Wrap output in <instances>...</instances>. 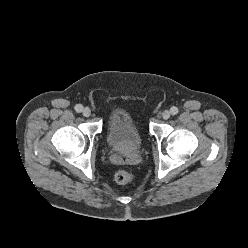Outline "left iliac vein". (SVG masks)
I'll use <instances>...</instances> for the list:
<instances>
[{"label": "left iliac vein", "mask_w": 248, "mask_h": 248, "mask_svg": "<svg viewBox=\"0 0 248 248\" xmlns=\"http://www.w3.org/2000/svg\"><path fill=\"white\" fill-rule=\"evenodd\" d=\"M170 116H171L170 111L164 110V111L162 112V118H163V119L167 120V119L170 118Z\"/></svg>", "instance_id": "obj_1"}]
</instances>
